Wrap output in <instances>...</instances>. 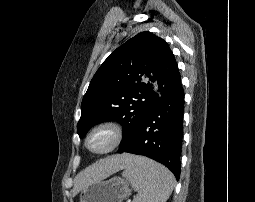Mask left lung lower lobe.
<instances>
[{
    "mask_svg": "<svg viewBox=\"0 0 255 202\" xmlns=\"http://www.w3.org/2000/svg\"><path fill=\"white\" fill-rule=\"evenodd\" d=\"M183 113L184 91L181 85L150 110L133 138L118 153L149 157L169 168L179 180Z\"/></svg>",
    "mask_w": 255,
    "mask_h": 202,
    "instance_id": "left-lung-lower-lobe-1",
    "label": "left lung lower lobe"
}]
</instances>
